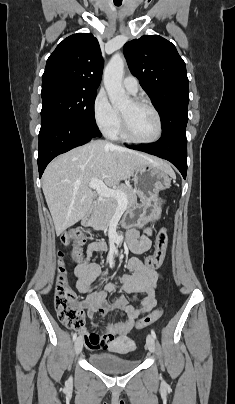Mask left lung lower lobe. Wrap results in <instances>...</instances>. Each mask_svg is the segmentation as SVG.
I'll use <instances>...</instances> for the list:
<instances>
[{
  "label": "left lung lower lobe",
  "mask_w": 235,
  "mask_h": 404,
  "mask_svg": "<svg viewBox=\"0 0 235 404\" xmlns=\"http://www.w3.org/2000/svg\"><path fill=\"white\" fill-rule=\"evenodd\" d=\"M166 159L174 164L184 179L187 173V144L185 130H178L162 135L151 146L129 147Z\"/></svg>",
  "instance_id": "obj_1"
}]
</instances>
